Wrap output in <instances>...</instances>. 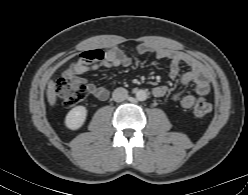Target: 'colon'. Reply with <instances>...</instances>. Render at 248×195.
<instances>
[{"instance_id":"1","label":"colon","mask_w":248,"mask_h":195,"mask_svg":"<svg viewBox=\"0 0 248 195\" xmlns=\"http://www.w3.org/2000/svg\"><path fill=\"white\" fill-rule=\"evenodd\" d=\"M53 89L65 106L72 107L83 101L88 94L87 87L79 80L58 78L53 83ZM211 111V104L204 98H198L193 106V114L203 118Z\"/></svg>"}]
</instances>
